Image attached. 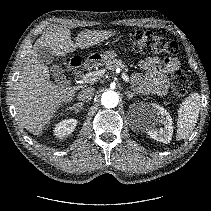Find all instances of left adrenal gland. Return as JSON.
<instances>
[{
	"label": "left adrenal gland",
	"instance_id": "a2214340",
	"mask_svg": "<svg viewBox=\"0 0 211 211\" xmlns=\"http://www.w3.org/2000/svg\"><path fill=\"white\" fill-rule=\"evenodd\" d=\"M125 94L127 95L128 99L131 100L133 96L138 95L137 92L126 91Z\"/></svg>",
	"mask_w": 211,
	"mask_h": 211
}]
</instances>
